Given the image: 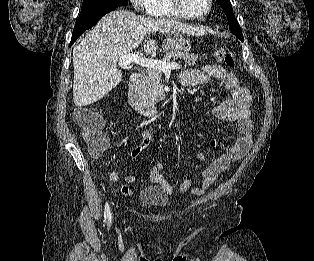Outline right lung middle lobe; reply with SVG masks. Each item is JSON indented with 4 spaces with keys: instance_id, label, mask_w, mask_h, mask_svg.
I'll return each mask as SVG.
<instances>
[{
    "instance_id": "right-lung-middle-lobe-1",
    "label": "right lung middle lobe",
    "mask_w": 314,
    "mask_h": 261,
    "mask_svg": "<svg viewBox=\"0 0 314 261\" xmlns=\"http://www.w3.org/2000/svg\"><path fill=\"white\" fill-rule=\"evenodd\" d=\"M127 0H83L78 21L93 17L95 14L113 7L127 5Z\"/></svg>"
}]
</instances>
